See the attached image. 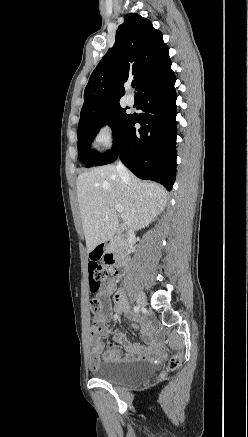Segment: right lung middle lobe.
I'll list each match as a JSON object with an SVG mask.
<instances>
[{
  "label": "right lung middle lobe",
  "mask_w": 248,
  "mask_h": 437,
  "mask_svg": "<svg viewBox=\"0 0 248 437\" xmlns=\"http://www.w3.org/2000/svg\"><path fill=\"white\" fill-rule=\"evenodd\" d=\"M131 118V114H126V109L120 105L115 106L104 112L86 118L78 125V153L86 167H91L101 161L106 154L94 153L90 147L91 142L98 130L105 124H109L113 129V145L118 141L126 124Z\"/></svg>",
  "instance_id": "dd1d6c3e"
}]
</instances>
